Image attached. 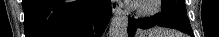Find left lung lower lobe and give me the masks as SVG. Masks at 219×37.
I'll return each mask as SVG.
<instances>
[{"label": "left lung lower lobe", "instance_id": "obj_1", "mask_svg": "<svg viewBox=\"0 0 219 37\" xmlns=\"http://www.w3.org/2000/svg\"><path fill=\"white\" fill-rule=\"evenodd\" d=\"M163 26L167 28H173L180 30L191 37H194L193 32L186 30L182 26L178 25L177 23L173 22L172 20L162 16L161 14H156L148 19L145 20H136L131 17H129V25H128V37H134L136 29H144L149 28L153 26Z\"/></svg>", "mask_w": 219, "mask_h": 37}]
</instances>
